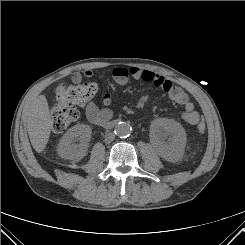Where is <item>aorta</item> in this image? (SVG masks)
I'll return each mask as SVG.
<instances>
[{"label": "aorta", "mask_w": 245, "mask_h": 245, "mask_svg": "<svg viewBox=\"0 0 245 245\" xmlns=\"http://www.w3.org/2000/svg\"><path fill=\"white\" fill-rule=\"evenodd\" d=\"M131 131L132 127L126 122H120L115 126V134L119 137H127Z\"/></svg>", "instance_id": "aorta-1"}]
</instances>
